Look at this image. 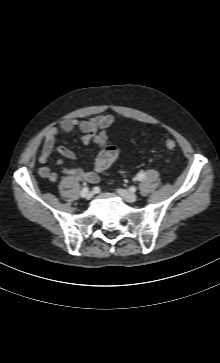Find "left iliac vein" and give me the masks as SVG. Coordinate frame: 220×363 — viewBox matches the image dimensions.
I'll return each mask as SVG.
<instances>
[{
	"mask_svg": "<svg viewBox=\"0 0 220 363\" xmlns=\"http://www.w3.org/2000/svg\"><path fill=\"white\" fill-rule=\"evenodd\" d=\"M117 193L127 202H135L137 200V195L132 190L118 189Z\"/></svg>",
	"mask_w": 220,
	"mask_h": 363,
	"instance_id": "4c4485c4",
	"label": "left iliac vein"
}]
</instances>
